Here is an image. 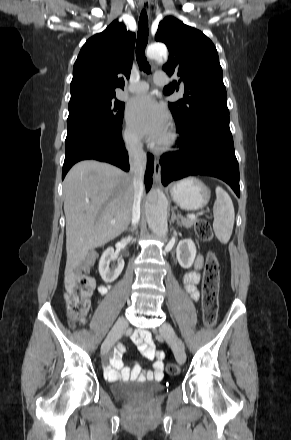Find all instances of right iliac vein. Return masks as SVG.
<instances>
[{"mask_svg": "<svg viewBox=\"0 0 291 440\" xmlns=\"http://www.w3.org/2000/svg\"><path fill=\"white\" fill-rule=\"evenodd\" d=\"M127 327V321L124 317L117 320L105 341L103 342L101 353L105 354L115 344V342L122 336L124 330Z\"/></svg>", "mask_w": 291, "mask_h": 440, "instance_id": "1", "label": "right iliac vein"}]
</instances>
